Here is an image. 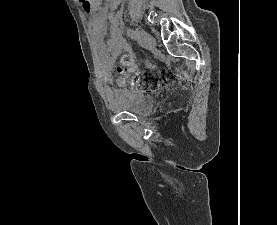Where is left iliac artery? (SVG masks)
<instances>
[{"mask_svg": "<svg viewBox=\"0 0 277 225\" xmlns=\"http://www.w3.org/2000/svg\"><path fill=\"white\" fill-rule=\"evenodd\" d=\"M127 34L132 39H134L136 37L135 31L131 28H127Z\"/></svg>", "mask_w": 277, "mask_h": 225, "instance_id": "44dca946", "label": "left iliac artery"}]
</instances>
